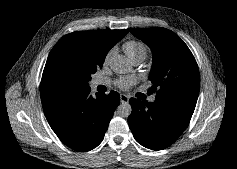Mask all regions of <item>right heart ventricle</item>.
<instances>
[{
    "instance_id": "1",
    "label": "right heart ventricle",
    "mask_w": 237,
    "mask_h": 169,
    "mask_svg": "<svg viewBox=\"0 0 237 169\" xmlns=\"http://www.w3.org/2000/svg\"><path fill=\"white\" fill-rule=\"evenodd\" d=\"M123 50L135 63L142 62L147 56V46L140 40H129L123 44Z\"/></svg>"
}]
</instances>
